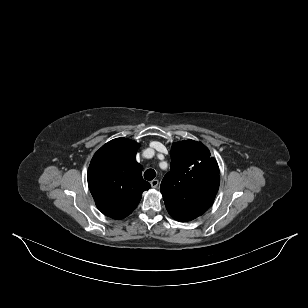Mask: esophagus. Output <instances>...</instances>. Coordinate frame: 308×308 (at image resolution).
<instances>
[{"label": "esophagus", "instance_id": "34e87169", "mask_svg": "<svg viewBox=\"0 0 308 308\" xmlns=\"http://www.w3.org/2000/svg\"><path fill=\"white\" fill-rule=\"evenodd\" d=\"M150 184H151V187H152V188H157L158 185H159V181H158L157 179H153V180L150 182Z\"/></svg>", "mask_w": 308, "mask_h": 308}]
</instances>
